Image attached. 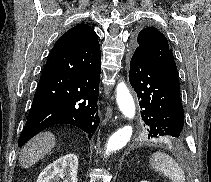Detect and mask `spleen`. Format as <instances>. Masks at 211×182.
<instances>
[{"mask_svg":"<svg viewBox=\"0 0 211 182\" xmlns=\"http://www.w3.org/2000/svg\"><path fill=\"white\" fill-rule=\"evenodd\" d=\"M150 165L156 172L163 173L173 182H186L182 168L172 157L165 153L156 152L152 154Z\"/></svg>","mask_w":211,"mask_h":182,"instance_id":"1","label":"spleen"}]
</instances>
